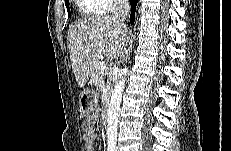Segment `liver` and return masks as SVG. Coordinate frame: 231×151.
Wrapping results in <instances>:
<instances>
[{
  "instance_id": "liver-1",
  "label": "liver",
  "mask_w": 231,
  "mask_h": 151,
  "mask_svg": "<svg viewBox=\"0 0 231 151\" xmlns=\"http://www.w3.org/2000/svg\"><path fill=\"white\" fill-rule=\"evenodd\" d=\"M127 41L126 26L110 16L87 18L70 27L67 44L79 87L93 75L103 54L116 58Z\"/></svg>"
}]
</instances>
